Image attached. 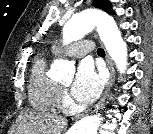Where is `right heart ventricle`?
I'll list each match as a JSON object with an SVG mask.
<instances>
[{"mask_svg":"<svg viewBox=\"0 0 153 134\" xmlns=\"http://www.w3.org/2000/svg\"><path fill=\"white\" fill-rule=\"evenodd\" d=\"M47 63L43 54L35 59L30 71L29 99L36 107L57 110L61 107L62 88L48 76Z\"/></svg>","mask_w":153,"mask_h":134,"instance_id":"obj_1","label":"right heart ventricle"}]
</instances>
